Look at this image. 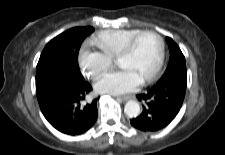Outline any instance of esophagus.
Masks as SVG:
<instances>
[{
  "instance_id": "obj_1",
  "label": "esophagus",
  "mask_w": 225,
  "mask_h": 155,
  "mask_svg": "<svg viewBox=\"0 0 225 155\" xmlns=\"http://www.w3.org/2000/svg\"><path fill=\"white\" fill-rule=\"evenodd\" d=\"M131 98V96H118L117 99L123 100V101H127Z\"/></svg>"
}]
</instances>
